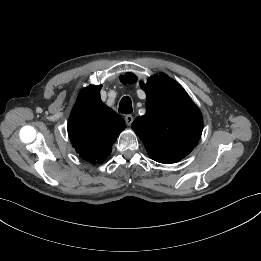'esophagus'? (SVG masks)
Returning <instances> with one entry per match:
<instances>
[{"instance_id":"1","label":"esophagus","mask_w":261,"mask_h":261,"mask_svg":"<svg viewBox=\"0 0 261 261\" xmlns=\"http://www.w3.org/2000/svg\"><path fill=\"white\" fill-rule=\"evenodd\" d=\"M124 119H125V123H126L127 126H130L133 122V116L132 115H126Z\"/></svg>"}]
</instances>
